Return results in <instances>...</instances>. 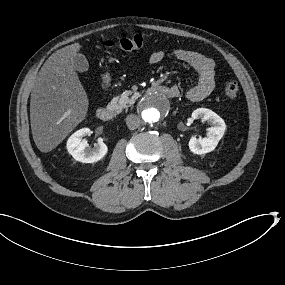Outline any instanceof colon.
Returning a JSON list of instances; mask_svg holds the SVG:
<instances>
[{
    "instance_id": "5ec220e1",
    "label": "colon",
    "mask_w": 285,
    "mask_h": 285,
    "mask_svg": "<svg viewBox=\"0 0 285 285\" xmlns=\"http://www.w3.org/2000/svg\"><path fill=\"white\" fill-rule=\"evenodd\" d=\"M144 40L142 36L120 38L117 40H106L103 45L107 48H114L122 51H134L143 47ZM223 93L227 99H235L239 93V85L235 81L227 82L224 85Z\"/></svg>"
}]
</instances>
